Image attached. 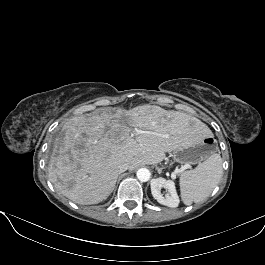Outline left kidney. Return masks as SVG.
<instances>
[{"label": "left kidney", "mask_w": 265, "mask_h": 265, "mask_svg": "<svg viewBox=\"0 0 265 265\" xmlns=\"http://www.w3.org/2000/svg\"><path fill=\"white\" fill-rule=\"evenodd\" d=\"M165 188L167 193L165 197L161 193V189ZM151 193L158 203L168 207H178L179 197L176 192L175 183L172 180H166L159 177L151 181Z\"/></svg>", "instance_id": "5707ae66"}]
</instances>
